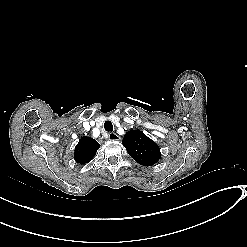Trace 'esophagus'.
<instances>
[{
	"label": "esophagus",
	"instance_id": "1",
	"mask_svg": "<svg viewBox=\"0 0 247 247\" xmlns=\"http://www.w3.org/2000/svg\"><path fill=\"white\" fill-rule=\"evenodd\" d=\"M108 139L114 140V141H119L121 139V137L119 135H117L116 133H109Z\"/></svg>",
	"mask_w": 247,
	"mask_h": 247
}]
</instances>
